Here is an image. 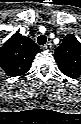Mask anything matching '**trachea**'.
Returning <instances> with one entry per match:
<instances>
[{
	"mask_svg": "<svg viewBox=\"0 0 81 124\" xmlns=\"http://www.w3.org/2000/svg\"><path fill=\"white\" fill-rule=\"evenodd\" d=\"M37 42L39 45H44L47 42V37L45 35H40L37 38Z\"/></svg>",
	"mask_w": 81,
	"mask_h": 124,
	"instance_id": "1",
	"label": "trachea"
}]
</instances>
